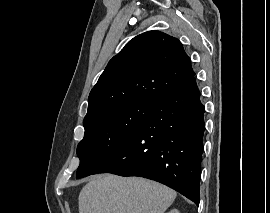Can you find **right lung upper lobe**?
Wrapping results in <instances>:
<instances>
[{
    "mask_svg": "<svg viewBox=\"0 0 270 213\" xmlns=\"http://www.w3.org/2000/svg\"><path fill=\"white\" fill-rule=\"evenodd\" d=\"M194 76L178 39L159 31L140 34L109 61L90 92L84 121L135 100L157 104Z\"/></svg>",
    "mask_w": 270,
    "mask_h": 213,
    "instance_id": "right-lung-upper-lobe-1",
    "label": "right lung upper lobe"
}]
</instances>
